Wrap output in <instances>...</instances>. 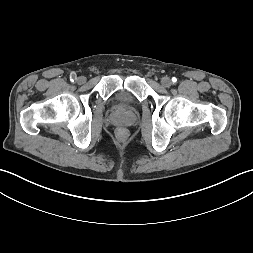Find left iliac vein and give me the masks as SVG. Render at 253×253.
Wrapping results in <instances>:
<instances>
[{"instance_id": "4c4485c4", "label": "left iliac vein", "mask_w": 253, "mask_h": 253, "mask_svg": "<svg viewBox=\"0 0 253 253\" xmlns=\"http://www.w3.org/2000/svg\"><path fill=\"white\" fill-rule=\"evenodd\" d=\"M161 84H162V86L168 88V87L171 86L172 82H171V80H170L169 77L165 76V77H163V78L161 79Z\"/></svg>"}]
</instances>
